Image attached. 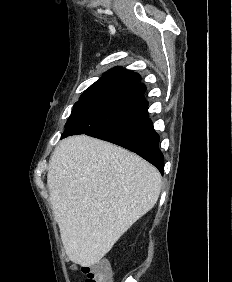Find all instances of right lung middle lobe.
<instances>
[{
    "instance_id": "1",
    "label": "right lung middle lobe",
    "mask_w": 232,
    "mask_h": 282,
    "mask_svg": "<svg viewBox=\"0 0 232 282\" xmlns=\"http://www.w3.org/2000/svg\"><path fill=\"white\" fill-rule=\"evenodd\" d=\"M147 110L148 102L142 92L111 90L82 94L62 137L122 127L148 117Z\"/></svg>"
}]
</instances>
